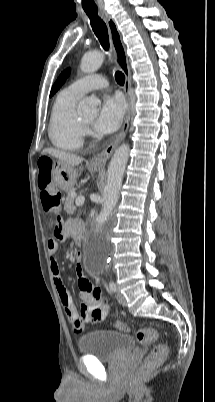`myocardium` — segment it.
<instances>
[{
  "label": "myocardium",
  "instance_id": "1",
  "mask_svg": "<svg viewBox=\"0 0 215 402\" xmlns=\"http://www.w3.org/2000/svg\"><path fill=\"white\" fill-rule=\"evenodd\" d=\"M81 124H82L83 127H86V126H87V124L84 123L83 121H81Z\"/></svg>",
  "mask_w": 215,
  "mask_h": 402
}]
</instances>
